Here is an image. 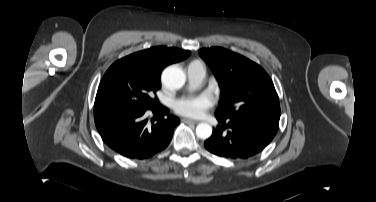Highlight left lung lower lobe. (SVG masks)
Here are the masks:
<instances>
[{
	"label": "left lung lower lobe",
	"instance_id": "obj_1",
	"mask_svg": "<svg viewBox=\"0 0 376 202\" xmlns=\"http://www.w3.org/2000/svg\"><path fill=\"white\" fill-rule=\"evenodd\" d=\"M216 118L222 125L213 130L204 145L211 153L230 159H247L260 153L278 130V126L260 119Z\"/></svg>",
	"mask_w": 376,
	"mask_h": 202
}]
</instances>
